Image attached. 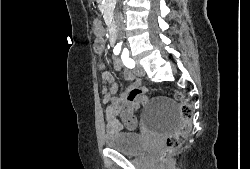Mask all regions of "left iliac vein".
<instances>
[{"instance_id":"1","label":"left iliac vein","mask_w":250,"mask_h":169,"mask_svg":"<svg viewBox=\"0 0 250 169\" xmlns=\"http://www.w3.org/2000/svg\"><path fill=\"white\" fill-rule=\"evenodd\" d=\"M133 72L135 73V75L140 77H143L145 75V71L138 61H136V68L133 70Z\"/></svg>"}]
</instances>
